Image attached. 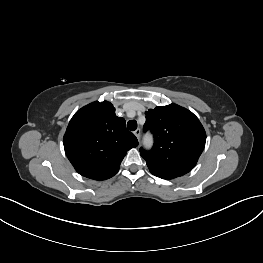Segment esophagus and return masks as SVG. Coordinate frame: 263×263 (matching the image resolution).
<instances>
[{"mask_svg":"<svg viewBox=\"0 0 263 263\" xmlns=\"http://www.w3.org/2000/svg\"><path fill=\"white\" fill-rule=\"evenodd\" d=\"M134 135L136 136V138L139 140L140 139V135H141V130L140 129H136L134 131Z\"/></svg>","mask_w":263,"mask_h":263,"instance_id":"1","label":"esophagus"}]
</instances>
